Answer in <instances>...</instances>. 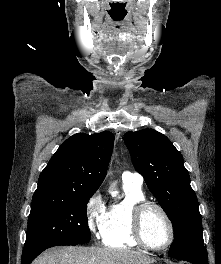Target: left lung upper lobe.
<instances>
[{
    "instance_id": "5c2ea615",
    "label": "left lung upper lobe",
    "mask_w": 221,
    "mask_h": 264,
    "mask_svg": "<svg viewBox=\"0 0 221 264\" xmlns=\"http://www.w3.org/2000/svg\"><path fill=\"white\" fill-rule=\"evenodd\" d=\"M124 142L136 171L172 222L174 241L170 250L203 246L198 200L181 153L165 135L153 129L127 132Z\"/></svg>"
}]
</instances>
